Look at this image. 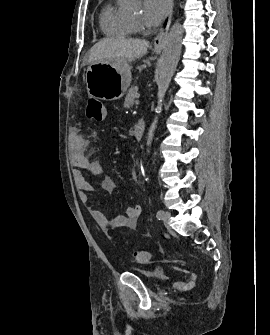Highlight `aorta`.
<instances>
[{
  "instance_id": "1",
  "label": "aorta",
  "mask_w": 270,
  "mask_h": 335,
  "mask_svg": "<svg viewBox=\"0 0 270 335\" xmlns=\"http://www.w3.org/2000/svg\"><path fill=\"white\" fill-rule=\"evenodd\" d=\"M181 40H182V26L180 24H174L172 26L168 36H166L165 44L163 46V54L160 60L159 76H158V102L156 112H161L162 100L169 88L171 78L177 68L179 62V56L181 52ZM158 118L155 116L149 130L147 144L150 148L152 140L154 138V132L157 128ZM149 154V150H147Z\"/></svg>"
}]
</instances>
